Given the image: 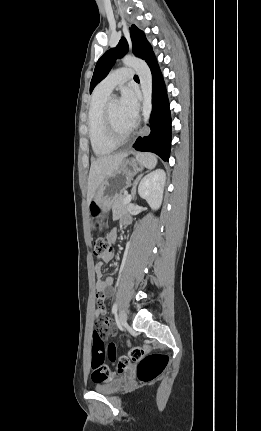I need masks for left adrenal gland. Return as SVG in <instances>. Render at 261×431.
<instances>
[{"label":"left adrenal gland","mask_w":261,"mask_h":431,"mask_svg":"<svg viewBox=\"0 0 261 431\" xmlns=\"http://www.w3.org/2000/svg\"><path fill=\"white\" fill-rule=\"evenodd\" d=\"M142 176H143V174L139 175V176L136 178V180L133 182V186H132V190H131V193H132L133 199H135V198H136V186H137V184H138V182H139V180L141 179V177H142Z\"/></svg>","instance_id":"a2214340"}]
</instances>
